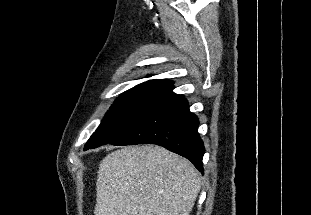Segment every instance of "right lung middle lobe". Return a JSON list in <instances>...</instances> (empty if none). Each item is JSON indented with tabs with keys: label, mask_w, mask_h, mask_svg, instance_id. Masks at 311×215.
Returning <instances> with one entry per match:
<instances>
[{
	"label": "right lung middle lobe",
	"mask_w": 311,
	"mask_h": 215,
	"mask_svg": "<svg viewBox=\"0 0 311 215\" xmlns=\"http://www.w3.org/2000/svg\"><path fill=\"white\" fill-rule=\"evenodd\" d=\"M168 88L169 86H136L121 94L87 141L84 150L122 137L161 101Z\"/></svg>",
	"instance_id": "obj_1"
}]
</instances>
